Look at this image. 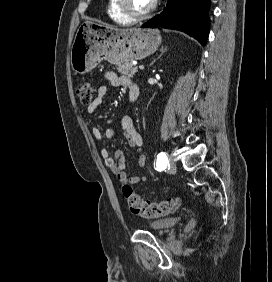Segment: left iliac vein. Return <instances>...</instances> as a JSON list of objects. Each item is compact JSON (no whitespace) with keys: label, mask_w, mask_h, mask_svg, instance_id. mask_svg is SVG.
Segmentation results:
<instances>
[{"label":"left iliac vein","mask_w":272,"mask_h":282,"mask_svg":"<svg viewBox=\"0 0 272 282\" xmlns=\"http://www.w3.org/2000/svg\"><path fill=\"white\" fill-rule=\"evenodd\" d=\"M168 170L170 173L176 172V164L172 158H169L168 160Z\"/></svg>","instance_id":"4c4485c4"}]
</instances>
